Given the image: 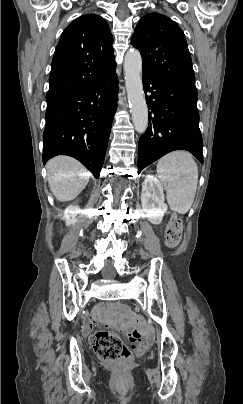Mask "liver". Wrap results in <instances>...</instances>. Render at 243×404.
<instances>
[{
    "label": "liver",
    "mask_w": 243,
    "mask_h": 404,
    "mask_svg": "<svg viewBox=\"0 0 243 404\" xmlns=\"http://www.w3.org/2000/svg\"><path fill=\"white\" fill-rule=\"evenodd\" d=\"M49 188L59 202H70L79 196L90 180V172L68 156H56L47 166Z\"/></svg>",
    "instance_id": "obj_1"
}]
</instances>
